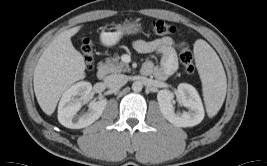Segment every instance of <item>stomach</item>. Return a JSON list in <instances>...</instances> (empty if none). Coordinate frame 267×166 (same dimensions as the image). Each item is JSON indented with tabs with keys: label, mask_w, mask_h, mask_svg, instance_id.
Wrapping results in <instances>:
<instances>
[{
	"label": "stomach",
	"mask_w": 267,
	"mask_h": 166,
	"mask_svg": "<svg viewBox=\"0 0 267 166\" xmlns=\"http://www.w3.org/2000/svg\"><path fill=\"white\" fill-rule=\"evenodd\" d=\"M141 30V25L135 22L123 24H107L100 35L101 43L106 47L115 46L124 35L136 34Z\"/></svg>",
	"instance_id": "1"
}]
</instances>
